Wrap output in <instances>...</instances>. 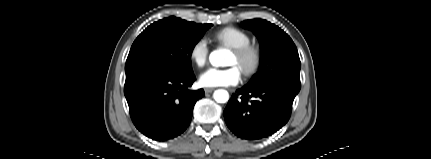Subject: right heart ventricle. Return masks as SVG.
<instances>
[{"label": "right heart ventricle", "mask_w": 431, "mask_h": 159, "mask_svg": "<svg viewBox=\"0 0 431 159\" xmlns=\"http://www.w3.org/2000/svg\"><path fill=\"white\" fill-rule=\"evenodd\" d=\"M214 38L221 45L234 49L250 44L249 34L239 28L226 27L214 34Z\"/></svg>", "instance_id": "e07e8e85"}]
</instances>
